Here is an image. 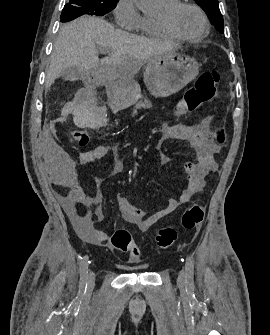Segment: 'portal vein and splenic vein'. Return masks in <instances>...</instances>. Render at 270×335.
I'll return each instance as SVG.
<instances>
[{
    "mask_svg": "<svg viewBox=\"0 0 270 335\" xmlns=\"http://www.w3.org/2000/svg\"><path fill=\"white\" fill-rule=\"evenodd\" d=\"M100 54H107V49L105 47H102L100 49ZM103 64H112V62H109V60H102Z\"/></svg>",
    "mask_w": 270,
    "mask_h": 335,
    "instance_id": "1",
    "label": "portal vein and splenic vein"
}]
</instances>
